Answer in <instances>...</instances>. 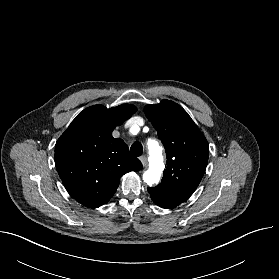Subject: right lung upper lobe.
I'll return each instance as SVG.
<instances>
[{
	"instance_id": "cb5924a9",
	"label": "right lung upper lobe",
	"mask_w": 279,
	"mask_h": 279,
	"mask_svg": "<svg viewBox=\"0 0 279 279\" xmlns=\"http://www.w3.org/2000/svg\"><path fill=\"white\" fill-rule=\"evenodd\" d=\"M136 112L134 105L84 109L60 136L55 146V165L68 193L80 204L97 208L116 192L120 178L142 169L127 145L112 131Z\"/></svg>"
}]
</instances>
